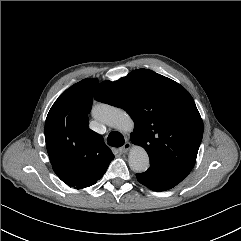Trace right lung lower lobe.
<instances>
[{
  "label": "right lung lower lobe",
  "instance_id": "right-lung-lower-lobe-1",
  "mask_svg": "<svg viewBox=\"0 0 241 241\" xmlns=\"http://www.w3.org/2000/svg\"><path fill=\"white\" fill-rule=\"evenodd\" d=\"M53 170L65 184L76 189L89 187L95 184L105 173L94 175L89 172L77 171L62 166H55Z\"/></svg>",
  "mask_w": 241,
  "mask_h": 241
}]
</instances>
